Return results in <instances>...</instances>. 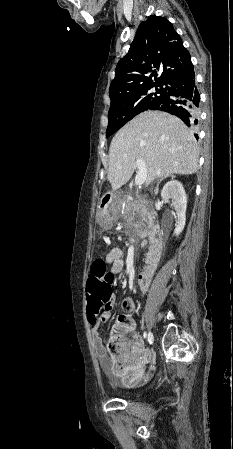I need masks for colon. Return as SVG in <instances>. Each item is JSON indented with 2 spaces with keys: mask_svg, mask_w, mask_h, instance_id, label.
<instances>
[{
  "mask_svg": "<svg viewBox=\"0 0 233 449\" xmlns=\"http://www.w3.org/2000/svg\"><path fill=\"white\" fill-rule=\"evenodd\" d=\"M87 291L89 310L87 316L93 322L99 314L106 311L104 304L110 302L111 299V285L105 262L95 261L92 263L87 276ZM125 306H129V301L125 302ZM133 326L134 321L130 316L119 317L112 332L111 348L124 350L133 345L135 343L132 337Z\"/></svg>",
  "mask_w": 233,
  "mask_h": 449,
  "instance_id": "obj_1",
  "label": "colon"
}]
</instances>
